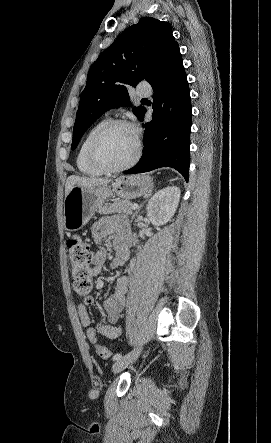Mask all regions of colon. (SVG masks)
Wrapping results in <instances>:
<instances>
[{"instance_id": "colon-1", "label": "colon", "mask_w": 271, "mask_h": 443, "mask_svg": "<svg viewBox=\"0 0 271 443\" xmlns=\"http://www.w3.org/2000/svg\"><path fill=\"white\" fill-rule=\"evenodd\" d=\"M67 250L74 291L84 298L85 303L90 304L92 302L91 291L93 287L92 246L87 240L74 237L68 240ZM95 349L101 358L109 359L111 357V352L106 347L96 345Z\"/></svg>"}]
</instances>
